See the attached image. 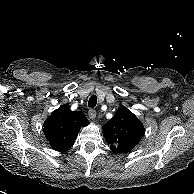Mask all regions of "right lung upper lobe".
Masks as SVG:
<instances>
[{"label": "right lung upper lobe", "mask_w": 194, "mask_h": 194, "mask_svg": "<svg viewBox=\"0 0 194 194\" xmlns=\"http://www.w3.org/2000/svg\"><path fill=\"white\" fill-rule=\"evenodd\" d=\"M88 123L84 113L63 105L46 119L43 132L54 150L65 152L74 144L81 127Z\"/></svg>", "instance_id": "right-lung-upper-lobe-1"}]
</instances>
